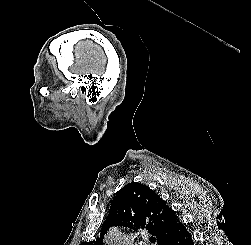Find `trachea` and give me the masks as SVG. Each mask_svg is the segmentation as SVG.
<instances>
[{
	"instance_id": "trachea-1",
	"label": "trachea",
	"mask_w": 251,
	"mask_h": 245,
	"mask_svg": "<svg viewBox=\"0 0 251 245\" xmlns=\"http://www.w3.org/2000/svg\"><path fill=\"white\" fill-rule=\"evenodd\" d=\"M155 240H156V239H155L154 237H151V238H150V242H151V243H155Z\"/></svg>"
}]
</instances>
